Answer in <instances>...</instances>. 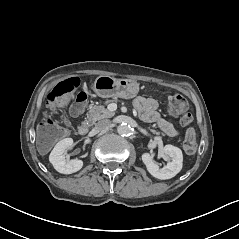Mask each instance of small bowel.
Wrapping results in <instances>:
<instances>
[{
    "mask_svg": "<svg viewBox=\"0 0 239 239\" xmlns=\"http://www.w3.org/2000/svg\"><path fill=\"white\" fill-rule=\"evenodd\" d=\"M133 106L143 120L157 123L160 129L169 136L178 135L173 122L160 116L156 100L140 96L134 100Z\"/></svg>",
    "mask_w": 239,
    "mask_h": 239,
    "instance_id": "1",
    "label": "small bowel"
}]
</instances>
